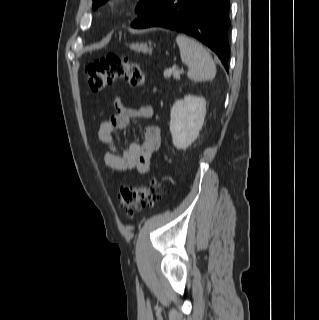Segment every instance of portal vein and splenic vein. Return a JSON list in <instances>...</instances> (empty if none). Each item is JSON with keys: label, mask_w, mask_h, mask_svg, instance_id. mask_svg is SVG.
<instances>
[{"label": "portal vein and splenic vein", "mask_w": 319, "mask_h": 320, "mask_svg": "<svg viewBox=\"0 0 319 320\" xmlns=\"http://www.w3.org/2000/svg\"><path fill=\"white\" fill-rule=\"evenodd\" d=\"M172 73L177 76V75H179L181 73V71H178V70H175V71L174 70H165L164 71V77L165 78H170Z\"/></svg>", "instance_id": "portal-vein-and-splenic-vein-1"}]
</instances>
